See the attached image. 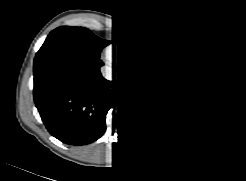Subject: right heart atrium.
I'll list each match as a JSON object with an SVG mask.
<instances>
[{"label": "right heart atrium", "mask_w": 246, "mask_h": 181, "mask_svg": "<svg viewBox=\"0 0 246 181\" xmlns=\"http://www.w3.org/2000/svg\"><path fill=\"white\" fill-rule=\"evenodd\" d=\"M108 60L110 63L114 64L115 66H120V61L115 54H110L108 56Z\"/></svg>", "instance_id": "obj_1"}]
</instances>
